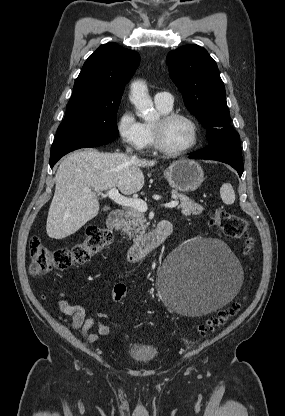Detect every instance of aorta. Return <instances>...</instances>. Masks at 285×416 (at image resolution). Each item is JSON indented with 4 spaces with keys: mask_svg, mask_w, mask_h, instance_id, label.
<instances>
[{
    "mask_svg": "<svg viewBox=\"0 0 285 416\" xmlns=\"http://www.w3.org/2000/svg\"><path fill=\"white\" fill-rule=\"evenodd\" d=\"M130 100L144 120L152 121L157 117V112L154 110L147 86L143 81H134L131 84Z\"/></svg>",
    "mask_w": 285,
    "mask_h": 416,
    "instance_id": "obj_1",
    "label": "aorta"
}]
</instances>
